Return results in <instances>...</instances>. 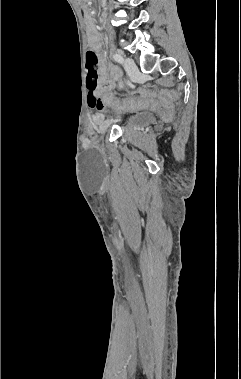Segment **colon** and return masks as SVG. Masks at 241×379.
Listing matches in <instances>:
<instances>
[{
	"label": "colon",
	"mask_w": 241,
	"mask_h": 379,
	"mask_svg": "<svg viewBox=\"0 0 241 379\" xmlns=\"http://www.w3.org/2000/svg\"><path fill=\"white\" fill-rule=\"evenodd\" d=\"M86 83H98L99 70L98 58L96 53L90 49L86 53ZM115 88L108 87L102 93V101L106 103L115 102L125 105L126 109H148L157 108L165 117H170L173 114L174 104L171 96L157 97L156 94H150L149 90H142L139 98H121V94L117 93L115 97Z\"/></svg>",
	"instance_id": "colon-1"
}]
</instances>
